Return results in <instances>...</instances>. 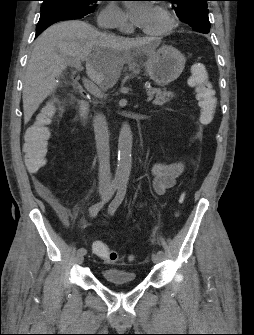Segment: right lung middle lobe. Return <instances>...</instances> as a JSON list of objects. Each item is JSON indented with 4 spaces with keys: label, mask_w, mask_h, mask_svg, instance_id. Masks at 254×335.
Here are the masks:
<instances>
[{
    "label": "right lung middle lobe",
    "mask_w": 254,
    "mask_h": 335,
    "mask_svg": "<svg viewBox=\"0 0 254 335\" xmlns=\"http://www.w3.org/2000/svg\"><path fill=\"white\" fill-rule=\"evenodd\" d=\"M41 12L51 8H64L86 16L92 13L99 0H42Z\"/></svg>",
    "instance_id": "right-lung-middle-lobe-1"
}]
</instances>
